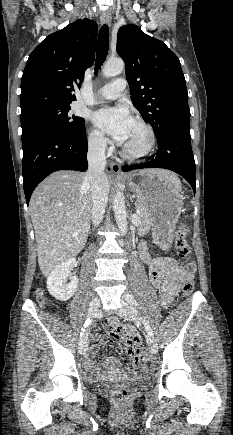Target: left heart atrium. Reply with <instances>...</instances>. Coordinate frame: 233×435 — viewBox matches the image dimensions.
I'll return each mask as SVG.
<instances>
[{
    "instance_id": "obj_1",
    "label": "left heart atrium",
    "mask_w": 233,
    "mask_h": 435,
    "mask_svg": "<svg viewBox=\"0 0 233 435\" xmlns=\"http://www.w3.org/2000/svg\"><path fill=\"white\" fill-rule=\"evenodd\" d=\"M92 121L98 128L109 134L117 144L121 145L126 140L134 123L129 110L123 104L95 111L92 114Z\"/></svg>"
}]
</instances>
